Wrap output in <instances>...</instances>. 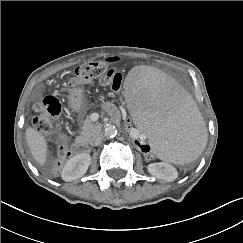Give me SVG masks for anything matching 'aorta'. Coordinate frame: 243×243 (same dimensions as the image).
<instances>
[{"instance_id": "762f6f07", "label": "aorta", "mask_w": 243, "mask_h": 243, "mask_svg": "<svg viewBox=\"0 0 243 243\" xmlns=\"http://www.w3.org/2000/svg\"><path fill=\"white\" fill-rule=\"evenodd\" d=\"M118 131L116 126L112 125V124H108L104 127V135L106 137H115L117 135Z\"/></svg>"}]
</instances>
